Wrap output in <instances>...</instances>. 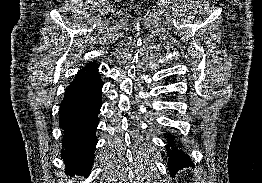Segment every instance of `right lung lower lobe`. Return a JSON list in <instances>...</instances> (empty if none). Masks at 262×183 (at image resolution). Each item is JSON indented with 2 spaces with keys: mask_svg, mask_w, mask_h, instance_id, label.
<instances>
[{
  "mask_svg": "<svg viewBox=\"0 0 262 183\" xmlns=\"http://www.w3.org/2000/svg\"><path fill=\"white\" fill-rule=\"evenodd\" d=\"M101 81L96 63L87 64L68 86L59 110V127L64 130L61 157L66 171L88 175L97 144L95 130L101 108Z\"/></svg>",
  "mask_w": 262,
  "mask_h": 183,
  "instance_id": "obj_1",
  "label": "right lung lower lobe"
}]
</instances>
